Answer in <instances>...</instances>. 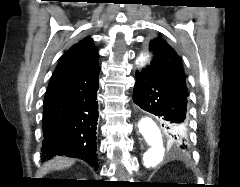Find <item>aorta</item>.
<instances>
[{"instance_id": "aorta-1", "label": "aorta", "mask_w": 240, "mask_h": 187, "mask_svg": "<svg viewBox=\"0 0 240 187\" xmlns=\"http://www.w3.org/2000/svg\"><path fill=\"white\" fill-rule=\"evenodd\" d=\"M146 59V56L140 55L136 63L143 65ZM138 128L147 144L143 154L144 166L147 168L154 167L163 159L165 154V140L163 135L151 117H143L138 123Z\"/></svg>"}]
</instances>
